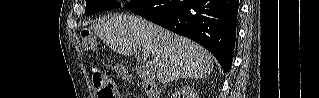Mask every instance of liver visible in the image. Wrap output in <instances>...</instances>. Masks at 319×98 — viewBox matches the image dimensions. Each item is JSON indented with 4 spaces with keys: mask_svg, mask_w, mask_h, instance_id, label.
Instances as JSON below:
<instances>
[{
    "mask_svg": "<svg viewBox=\"0 0 319 98\" xmlns=\"http://www.w3.org/2000/svg\"><path fill=\"white\" fill-rule=\"evenodd\" d=\"M90 29L113 51L131 56L146 50L153 57V75L163 84L184 78H207L212 56L197 43L165 30L139 16L113 14Z\"/></svg>",
    "mask_w": 319,
    "mask_h": 98,
    "instance_id": "1",
    "label": "liver"
}]
</instances>
